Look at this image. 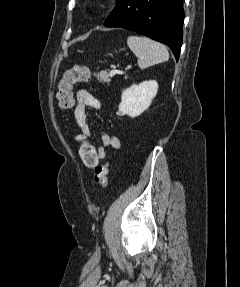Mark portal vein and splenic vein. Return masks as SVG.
Here are the masks:
<instances>
[{
	"mask_svg": "<svg viewBox=\"0 0 240 287\" xmlns=\"http://www.w3.org/2000/svg\"><path fill=\"white\" fill-rule=\"evenodd\" d=\"M131 68V65H128L127 66V70L128 69H130ZM117 73H119V71L117 70V69H112L111 71H110V76H113V75H115V74H117Z\"/></svg>",
	"mask_w": 240,
	"mask_h": 287,
	"instance_id": "18ae733b",
	"label": "portal vein and splenic vein"
}]
</instances>
